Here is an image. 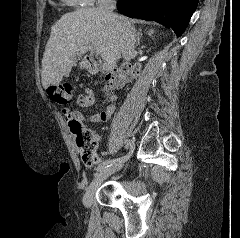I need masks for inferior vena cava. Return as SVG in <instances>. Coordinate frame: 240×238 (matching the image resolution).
I'll return each instance as SVG.
<instances>
[{"label": "inferior vena cava", "mask_w": 240, "mask_h": 238, "mask_svg": "<svg viewBox=\"0 0 240 238\" xmlns=\"http://www.w3.org/2000/svg\"><path fill=\"white\" fill-rule=\"evenodd\" d=\"M116 4V0H99L98 11L108 20L118 23L122 27V57L126 62H129L133 58L135 51L136 33L133 26H130L120 16L113 12L116 8Z\"/></svg>", "instance_id": "1"}]
</instances>
